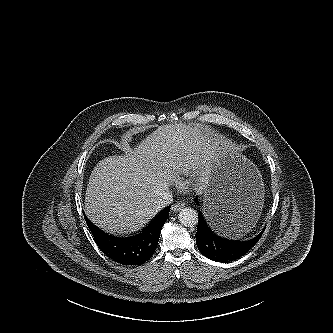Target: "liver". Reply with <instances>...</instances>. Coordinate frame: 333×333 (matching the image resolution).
<instances>
[{"label": "liver", "instance_id": "1", "mask_svg": "<svg viewBox=\"0 0 333 333\" xmlns=\"http://www.w3.org/2000/svg\"><path fill=\"white\" fill-rule=\"evenodd\" d=\"M214 144L207 127L174 123L158 127L125 155L104 158L87 185V217L114 234L140 230L160 211L156 209L160 194L181 174L196 175V193H204Z\"/></svg>", "mask_w": 333, "mask_h": 333}]
</instances>
